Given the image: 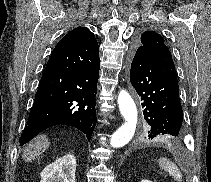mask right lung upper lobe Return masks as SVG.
I'll return each instance as SVG.
<instances>
[{
	"label": "right lung upper lobe",
	"instance_id": "1",
	"mask_svg": "<svg viewBox=\"0 0 211 182\" xmlns=\"http://www.w3.org/2000/svg\"><path fill=\"white\" fill-rule=\"evenodd\" d=\"M91 33L90 30L86 27H78L71 32H69L63 39L72 41V40H77L87 34ZM62 39V40H63Z\"/></svg>",
	"mask_w": 211,
	"mask_h": 182
}]
</instances>
